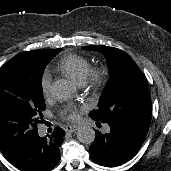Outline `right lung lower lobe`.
Here are the masks:
<instances>
[{
	"mask_svg": "<svg viewBox=\"0 0 171 171\" xmlns=\"http://www.w3.org/2000/svg\"><path fill=\"white\" fill-rule=\"evenodd\" d=\"M65 132L56 127L50 136L35 134L13 157L7 159L22 171H50L60 160L59 146Z\"/></svg>",
	"mask_w": 171,
	"mask_h": 171,
	"instance_id": "obj_1",
	"label": "right lung lower lobe"
}]
</instances>
